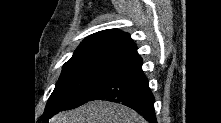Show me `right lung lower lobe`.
<instances>
[{
  "label": "right lung lower lobe",
  "instance_id": "1",
  "mask_svg": "<svg viewBox=\"0 0 221 123\" xmlns=\"http://www.w3.org/2000/svg\"><path fill=\"white\" fill-rule=\"evenodd\" d=\"M92 100L122 103L139 112L150 123L156 122L154 97L142 71V58L139 55L131 58L99 83L88 99ZM54 114L56 113L43 114V120H48Z\"/></svg>",
  "mask_w": 221,
  "mask_h": 123
}]
</instances>
